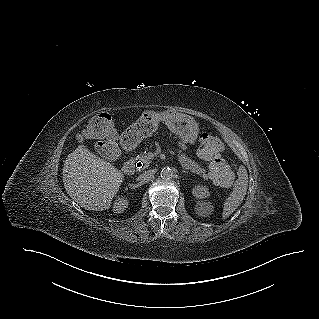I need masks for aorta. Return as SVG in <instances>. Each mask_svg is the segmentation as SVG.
Segmentation results:
<instances>
[{
	"label": "aorta",
	"mask_w": 319,
	"mask_h": 319,
	"mask_svg": "<svg viewBox=\"0 0 319 319\" xmlns=\"http://www.w3.org/2000/svg\"><path fill=\"white\" fill-rule=\"evenodd\" d=\"M160 175L162 179L170 180L173 177V170L169 167H165L162 169Z\"/></svg>",
	"instance_id": "762f6f07"
}]
</instances>
